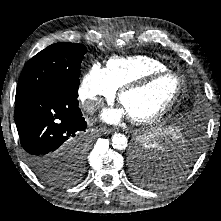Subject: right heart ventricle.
I'll list each match as a JSON object with an SVG mask.
<instances>
[{"label": "right heart ventricle", "instance_id": "right-heart-ventricle-1", "mask_svg": "<svg viewBox=\"0 0 221 221\" xmlns=\"http://www.w3.org/2000/svg\"><path fill=\"white\" fill-rule=\"evenodd\" d=\"M109 79L118 89L124 84L137 80L149 73L167 70L160 60L146 55L112 57L105 68Z\"/></svg>", "mask_w": 221, "mask_h": 221}]
</instances>
